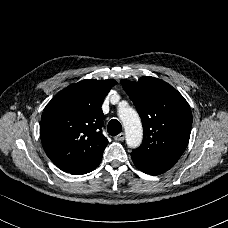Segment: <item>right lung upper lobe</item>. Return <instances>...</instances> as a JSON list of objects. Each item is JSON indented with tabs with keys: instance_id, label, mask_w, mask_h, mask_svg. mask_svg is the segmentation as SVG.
Segmentation results:
<instances>
[{
	"instance_id": "right-lung-upper-lobe-1",
	"label": "right lung upper lobe",
	"mask_w": 228,
	"mask_h": 228,
	"mask_svg": "<svg viewBox=\"0 0 228 228\" xmlns=\"http://www.w3.org/2000/svg\"><path fill=\"white\" fill-rule=\"evenodd\" d=\"M115 84L113 79L82 80L60 91L44 108L40 122L42 146L61 170H77L103 154L108 140L101 130V106Z\"/></svg>"
}]
</instances>
